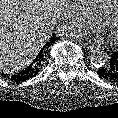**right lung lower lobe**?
I'll return each mask as SVG.
<instances>
[{
	"instance_id": "1",
	"label": "right lung lower lobe",
	"mask_w": 118,
	"mask_h": 118,
	"mask_svg": "<svg viewBox=\"0 0 118 118\" xmlns=\"http://www.w3.org/2000/svg\"><path fill=\"white\" fill-rule=\"evenodd\" d=\"M56 40V38H52L51 41ZM49 44V42H48ZM47 44V45H48ZM43 61H44V51L41 49V51L38 53V56L34 59V61L23 71L20 73L13 75L10 77L11 80L14 81H25L29 78H32L36 76L43 66ZM6 77V76H4Z\"/></svg>"
}]
</instances>
